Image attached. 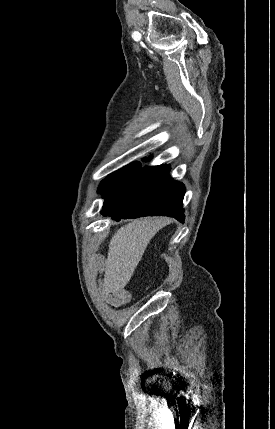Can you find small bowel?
Listing matches in <instances>:
<instances>
[{
	"label": "small bowel",
	"instance_id": "1",
	"mask_svg": "<svg viewBox=\"0 0 275 429\" xmlns=\"http://www.w3.org/2000/svg\"><path fill=\"white\" fill-rule=\"evenodd\" d=\"M131 299V294L124 288H116L110 291V294L106 297V301L113 307H119L128 303Z\"/></svg>",
	"mask_w": 275,
	"mask_h": 429
}]
</instances>
